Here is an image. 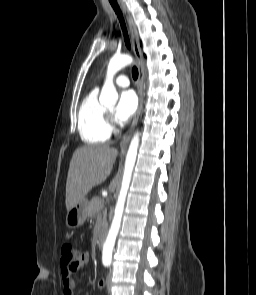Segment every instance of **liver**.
Masks as SVG:
<instances>
[{"mask_svg": "<svg viewBox=\"0 0 256 295\" xmlns=\"http://www.w3.org/2000/svg\"><path fill=\"white\" fill-rule=\"evenodd\" d=\"M118 151L107 145H88L75 150L70 161L66 182V208L69 211L96 185L111 173ZM116 187V179L110 190Z\"/></svg>", "mask_w": 256, "mask_h": 295, "instance_id": "6515ba94", "label": "liver"}]
</instances>
